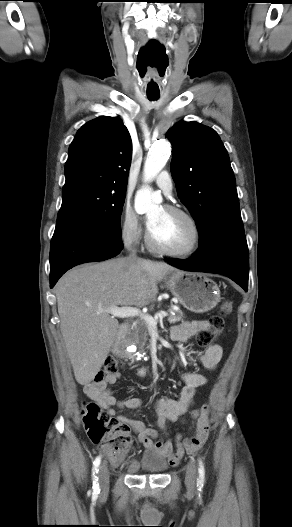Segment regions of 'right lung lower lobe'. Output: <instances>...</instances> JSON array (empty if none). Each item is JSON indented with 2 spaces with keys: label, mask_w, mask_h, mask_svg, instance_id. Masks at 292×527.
Returning a JSON list of instances; mask_svg holds the SVG:
<instances>
[{
  "label": "right lung lower lobe",
  "mask_w": 292,
  "mask_h": 527,
  "mask_svg": "<svg viewBox=\"0 0 292 527\" xmlns=\"http://www.w3.org/2000/svg\"><path fill=\"white\" fill-rule=\"evenodd\" d=\"M122 248L121 236L104 229L82 223H57L50 248V287L70 268L107 260Z\"/></svg>",
  "instance_id": "right-lung-lower-lobe-1"
}]
</instances>
